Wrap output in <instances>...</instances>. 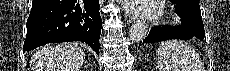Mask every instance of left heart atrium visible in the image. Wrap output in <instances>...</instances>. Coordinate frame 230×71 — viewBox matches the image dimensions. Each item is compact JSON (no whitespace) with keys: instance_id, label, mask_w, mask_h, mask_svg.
<instances>
[{"instance_id":"obj_1","label":"left heart atrium","mask_w":230,"mask_h":71,"mask_svg":"<svg viewBox=\"0 0 230 71\" xmlns=\"http://www.w3.org/2000/svg\"><path fill=\"white\" fill-rule=\"evenodd\" d=\"M126 3L131 10L137 13H147L150 10L149 7L150 1L135 0V1H126Z\"/></svg>"}]
</instances>
